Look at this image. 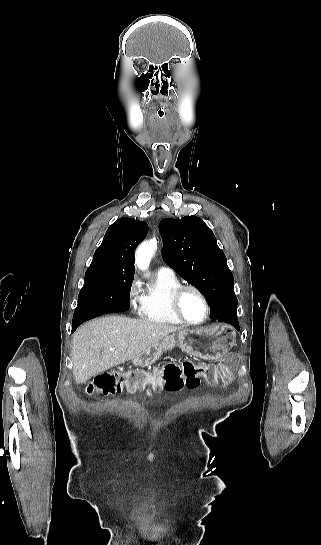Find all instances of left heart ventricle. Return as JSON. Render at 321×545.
Returning <instances> with one entry per match:
<instances>
[{
	"label": "left heart ventricle",
	"mask_w": 321,
	"mask_h": 545,
	"mask_svg": "<svg viewBox=\"0 0 321 545\" xmlns=\"http://www.w3.org/2000/svg\"><path fill=\"white\" fill-rule=\"evenodd\" d=\"M182 316L189 322L196 323L203 319L205 307L199 295L192 291H185L179 302Z\"/></svg>",
	"instance_id": "b2bd125f"
}]
</instances>
